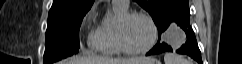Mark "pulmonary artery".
Here are the masks:
<instances>
[{
	"label": "pulmonary artery",
	"instance_id": "obj_1",
	"mask_svg": "<svg viewBox=\"0 0 242 64\" xmlns=\"http://www.w3.org/2000/svg\"><path fill=\"white\" fill-rule=\"evenodd\" d=\"M114 5L119 6L121 8L127 9L129 6L128 0H113L112 2Z\"/></svg>",
	"mask_w": 242,
	"mask_h": 64
}]
</instances>
